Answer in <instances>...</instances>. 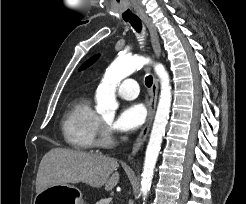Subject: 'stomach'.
Masks as SVG:
<instances>
[{
  "label": "stomach",
  "mask_w": 246,
  "mask_h": 204,
  "mask_svg": "<svg viewBox=\"0 0 246 204\" xmlns=\"http://www.w3.org/2000/svg\"><path fill=\"white\" fill-rule=\"evenodd\" d=\"M34 204H84V200L78 188L64 184L48 187L38 193Z\"/></svg>",
  "instance_id": "obj_1"
}]
</instances>
